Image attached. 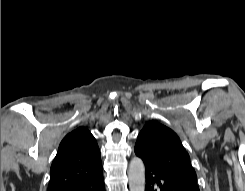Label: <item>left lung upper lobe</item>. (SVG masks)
Returning a JSON list of instances; mask_svg holds the SVG:
<instances>
[{"label":"left lung upper lobe","mask_w":245,"mask_h":191,"mask_svg":"<svg viewBox=\"0 0 245 191\" xmlns=\"http://www.w3.org/2000/svg\"><path fill=\"white\" fill-rule=\"evenodd\" d=\"M134 151L145 163L198 185L188 152L178 135L165 125L148 122L138 135Z\"/></svg>","instance_id":"left-lung-upper-lobe-1"}]
</instances>
